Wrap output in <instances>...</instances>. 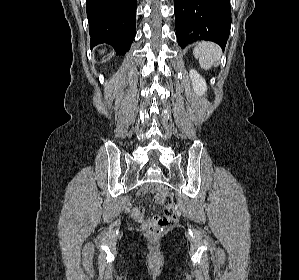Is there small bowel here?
<instances>
[{"mask_svg":"<svg viewBox=\"0 0 299 280\" xmlns=\"http://www.w3.org/2000/svg\"><path fill=\"white\" fill-rule=\"evenodd\" d=\"M132 217L143 227H147L151 219H146L138 208H134L131 212Z\"/></svg>","mask_w":299,"mask_h":280,"instance_id":"c3829d8e","label":"small bowel"}]
</instances>
